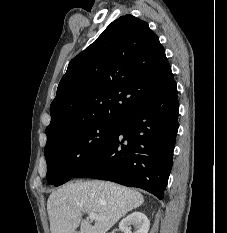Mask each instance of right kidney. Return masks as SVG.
Returning <instances> with one entry per match:
<instances>
[{"instance_id": "right-kidney-1", "label": "right kidney", "mask_w": 227, "mask_h": 233, "mask_svg": "<svg viewBox=\"0 0 227 233\" xmlns=\"http://www.w3.org/2000/svg\"><path fill=\"white\" fill-rule=\"evenodd\" d=\"M131 225L134 226V232L131 231ZM150 221L142 212H133L119 223V229L123 233H148Z\"/></svg>"}]
</instances>
